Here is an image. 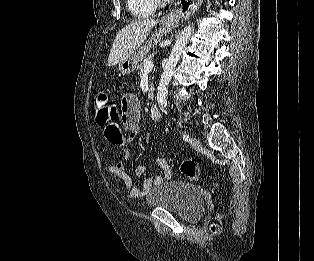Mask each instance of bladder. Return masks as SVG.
<instances>
[{"instance_id": "obj_1", "label": "bladder", "mask_w": 314, "mask_h": 261, "mask_svg": "<svg viewBox=\"0 0 314 261\" xmlns=\"http://www.w3.org/2000/svg\"><path fill=\"white\" fill-rule=\"evenodd\" d=\"M151 208L171 211L186 221H195L204 208V196L193 184L168 181L152 188L146 198Z\"/></svg>"}]
</instances>
